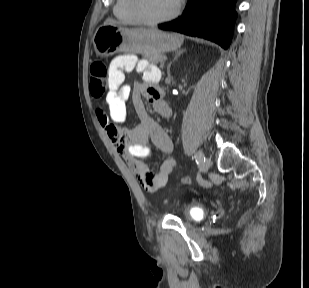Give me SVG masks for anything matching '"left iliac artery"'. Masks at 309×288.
I'll return each mask as SVG.
<instances>
[{"mask_svg":"<svg viewBox=\"0 0 309 288\" xmlns=\"http://www.w3.org/2000/svg\"><path fill=\"white\" fill-rule=\"evenodd\" d=\"M194 159L197 164H202L205 161V156L202 152L199 151L194 155Z\"/></svg>","mask_w":309,"mask_h":288,"instance_id":"left-iliac-artery-1","label":"left iliac artery"}]
</instances>
